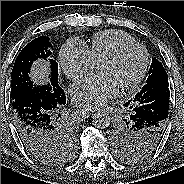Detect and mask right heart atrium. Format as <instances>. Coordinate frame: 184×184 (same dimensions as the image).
Segmentation results:
<instances>
[{
    "instance_id": "right-heart-atrium-1",
    "label": "right heart atrium",
    "mask_w": 184,
    "mask_h": 184,
    "mask_svg": "<svg viewBox=\"0 0 184 184\" xmlns=\"http://www.w3.org/2000/svg\"><path fill=\"white\" fill-rule=\"evenodd\" d=\"M58 62L64 74L78 79L94 68L88 46L77 38L69 39L59 51Z\"/></svg>"
}]
</instances>
